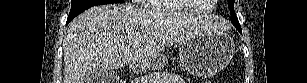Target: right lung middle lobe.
Listing matches in <instances>:
<instances>
[{
  "instance_id": "dd1d6c3e",
  "label": "right lung middle lobe",
  "mask_w": 307,
  "mask_h": 83,
  "mask_svg": "<svg viewBox=\"0 0 307 83\" xmlns=\"http://www.w3.org/2000/svg\"><path fill=\"white\" fill-rule=\"evenodd\" d=\"M123 2L124 0H71V10L67 22L69 23L77 15L91 8L92 6Z\"/></svg>"
}]
</instances>
